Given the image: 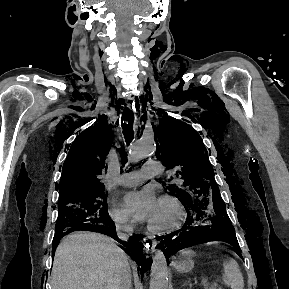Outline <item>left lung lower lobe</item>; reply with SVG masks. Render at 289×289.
Returning <instances> with one entry per match:
<instances>
[{
  "instance_id": "1",
  "label": "left lung lower lobe",
  "mask_w": 289,
  "mask_h": 289,
  "mask_svg": "<svg viewBox=\"0 0 289 289\" xmlns=\"http://www.w3.org/2000/svg\"><path fill=\"white\" fill-rule=\"evenodd\" d=\"M225 208L223 201H216L211 205V209H208L202 200L187 207L188 216L183 227L164 237V244L167 247L166 257L168 258L171 254L192 246L193 240L201 236H209L231 243L239 256L242 257L234 228ZM211 215L214 216L211 217Z\"/></svg>"
}]
</instances>
